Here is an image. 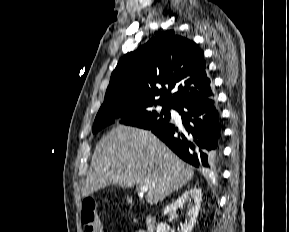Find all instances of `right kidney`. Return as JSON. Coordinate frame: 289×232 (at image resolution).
<instances>
[{
  "label": "right kidney",
  "mask_w": 289,
  "mask_h": 232,
  "mask_svg": "<svg viewBox=\"0 0 289 232\" xmlns=\"http://www.w3.org/2000/svg\"><path fill=\"white\" fill-rule=\"evenodd\" d=\"M202 202V193L199 188H191L185 191L179 196L172 204L164 209V216L175 212L179 207H182L185 203H188V212L185 223L181 226L180 232H192L196 223L199 209ZM169 228L165 223H158L156 232H168Z\"/></svg>",
  "instance_id": "1"
}]
</instances>
